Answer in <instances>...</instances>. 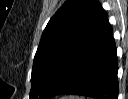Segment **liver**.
<instances>
[{
	"mask_svg": "<svg viewBox=\"0 0 128 99\" xmlns=\"http://www.w3.org/2000/svg\"><path fill=\"white\" fill-rule=\"evenodd\" d=\"M67 99H78V98L77 97L70 96V97H67Z\"/></svg>",
	"mask_w": 128,
	"mask_h": 99,
	"instance_id": "liver-1",
	"label": "liver"
}]
</instances>
